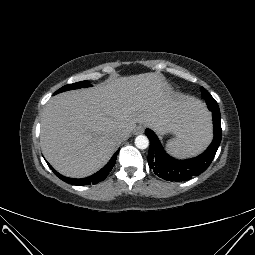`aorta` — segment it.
Returning a JSON list of instances; mask_svg holds the SVG:
<instances>
[{"mask_svg":"<svg viewBox=\"0 0 255 255\" xmlns=\"http://www.w3.org/2000/svg\"><path fill=\"white\" fill-rule=\"evenodd\" d=\"M135 146L138 148V149H146L148 146H149V139L147 138V136L145 135H138L136 138H135Z\"/></svg>","mask_w":255,"mask_h":255,"instance_id":"obj_1","label":"aorta"}]
</instances>
